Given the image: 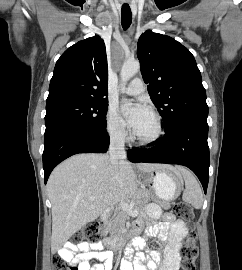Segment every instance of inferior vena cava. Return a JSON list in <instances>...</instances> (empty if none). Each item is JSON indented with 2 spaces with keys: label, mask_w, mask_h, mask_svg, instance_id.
Instances as JSON below:
<instances>
[{
  "label": "inferior vena cava",
  "mask_w": 242,
  "mask_h": 270,
  "mask_svg": "<svg viewBox=\"0 0 242 270\" xmlns=\"http://www.w3.org/2000/svg\"><path fill=\"white\" fill-rule=\"evenodd\" d=\"M124 143L125 141L122 133L112 136L109 147V160L112 165H117L119 161L126 158Z\"/></svg>",
  "instance_id": "inferior-vena-cava-1"
}]
</instances>
